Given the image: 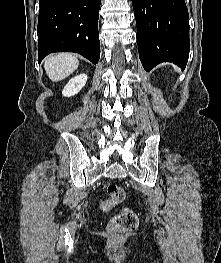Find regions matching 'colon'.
<instances>
[{
	"instance_id": "5ec220e1",
	"label": "colon",
	"mask_w": 221,
	"mask_h": 263,
	"mask_svg": "<svg viewBox=\"0 0 221 263\" xmlns=\"http://www.w3.org/2000/svg\"><path fill=\"white\" fill-rule=\"evenodd\" d=\"M108 198L101 203L104 211L109 210L115 204L125 199V190L117 184H109L107 187ZM138 226V217L131 209H123L115 215L109 223L110 231L114 233H126L133 231Z\"/></svg>"
}]
</instances>
